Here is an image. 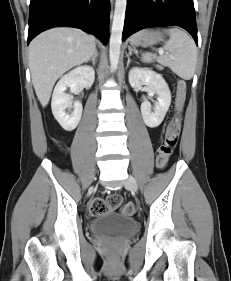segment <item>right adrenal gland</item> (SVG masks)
Returning <instances> with one entry per match:
<instances>
[{
	"label": "right adrenal gland",
	"mask_w": 231,
	"mask_h": 281,
	"mask_svg": "<svg viewBox=\"0 0 231 281\" xmlns=\"http://www.w3.org/2000/svg\"><path fill=\"white\" fill-rule=\"evenodd\" d=\"M97 57H98V51L95 50V52H94V54H93V57H92V59H91V62L93 63V66H95V64H96V59H97Z\"/></svg>",
	"instance_id": "1"
}]
</instances>
